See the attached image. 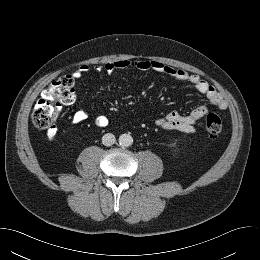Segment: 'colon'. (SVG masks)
I'll return each instance as SVG.
<instances>
[{
	"instance_id": "5ec220e1",
	"label": "colon",
	"mask_w": 260,
	"mask_h": 260,
	"mask_svg": "<svg viewBox=\"0 0 260 260\" xmlns=\"http://www.w3.org/2000/svg\"><path fill=\"white\" fill-rule=\"evenodd\" d=\"M74 85L71 75H62L46 87L32 114V121L37 128L56 132V119L61 107L75 100ZM205 128L211 136H218L223 129L221 118L215 113L208 114Z\"/></svg>"
}]
</instances>
